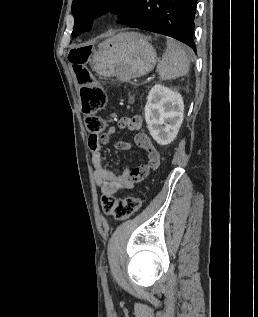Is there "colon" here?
<instances>
[{
	"label": "colon",
	"instance_id": "obj_1",
	"mask_svg": "<svg viewBox=\"0 0 258 317\" xmlns=\"http://www.w3.org/2000/svg\"><path fill=\"white\" fill-rule=\"evenodd\" d=\"M90 54V48L77 47L70 51L68 59L80 88L85 124L92 134H99L103 129V119L99 113L105 107L107 96L104 88L95 81L86 67ZM101 206L106 215L116 220H125L141 208L142 200L139 197L116 199L103 194Z\"/></svg>",
	"mask_w": 258,
	"mask_h": 317
}]
</instances>
